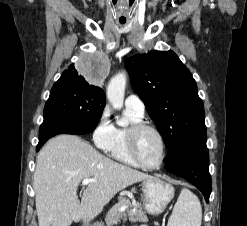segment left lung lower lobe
<instances>
[{"label": "left lung lower lobe", "instance_id": "obj_1", "mask_svg": "<svg viewBox=\"0 0 247 226\" xmlns=\"http://www.w3.org/2000/svg\"><path fill=\"white\" fill-rule=\"evenodd\" d=\"M165 168L195 185L209 202L211 176L206 137L192 140L166 156Z\"/></svg>", "mask_w": 247, "mask_h": 226}]
</instances>
